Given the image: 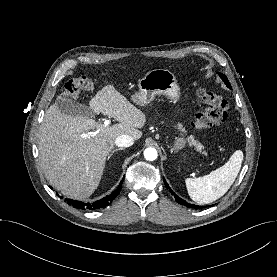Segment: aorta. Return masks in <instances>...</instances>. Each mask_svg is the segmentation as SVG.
Here are the masks:
<instances>
[{
    "label": "aorta",
    "instance_id": "762f6f07",
    "mask_svg": "<svg viewBox=\"0 0 277 277\" xmlns=\"http://www.w3.org/2000/svg\"><path fill=\"white\" fill-rule=\"evenodd\" d=\"M157 150L155 148L149 147L144 151V157L148 161H154L157 158Z\"/></svg>",
    "mask_w": 277,
    "mask_h": 277
}]
</instances>
